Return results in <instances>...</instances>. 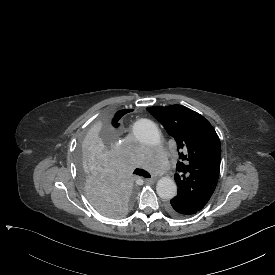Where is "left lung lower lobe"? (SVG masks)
I'll return each instance as SVG.
<instances>
[{"mask_svg": "<svg viewBox=\"0 0 275 275\" xmlns=\"http://www.w3.org/2000/svg\"><path fill=\"white\" fill-rule=\"evenodd\" d=\"M167 211L173 217L183 218L186 216L196 214L200 210L194 209L192 207H189L185 203H181L172 199L171 205L167 206Z\"/></svg>", "mask_w": 275, "mask_h": 275, "instance_id": "0a47b994", "label": "left lung lower lobe"}]
</instances>
